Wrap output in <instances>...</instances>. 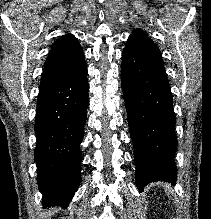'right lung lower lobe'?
<instances>
[{
    "mask_svg": "<svg viewBox=\"0 0 211 219\" xmlns=\"http://www.w3.org/2000/svg\"><path fill=\"white\" fill-rule=\"evenodd\" d=\"M88 90L84 59L39 87L34 160L45 207L65 208L79 187Z\"/></svg>",
    "mask_w": 211,
    "mask_h": 219,
    "instance_id": "right-lung-lower-lobe-1",
    "label": "right lung lower lobe"
}]
</instances>
